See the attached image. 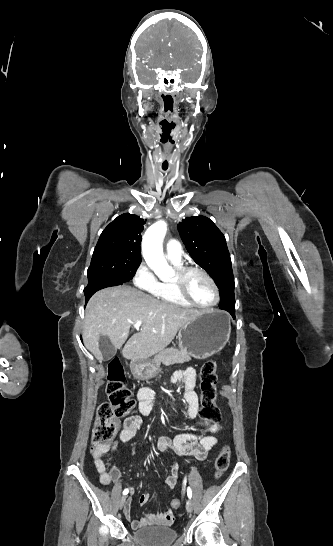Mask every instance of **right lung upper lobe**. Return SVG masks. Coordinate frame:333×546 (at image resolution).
I'll use <instances>...</instances> for the list:
<instances>
[{
  "label": "right lung upper lobe",
  "instance_id": "obj_1",
  "mask_svg": "<svg viewBox=\"0 0 333 546\" xmlns=\"http://www.w3.org/2000/svg\"><path fill=\"white\" fill-rule=\"evenodd\" d=\"M145 221L134 214L125 213L111 222L101 233L94 253L119 252L124 253L140 264L141 262V232Z\"/></svg>",
  "mask_w": 333,
  "mask_h": 546
}]
</instances>
